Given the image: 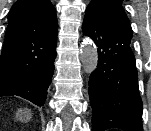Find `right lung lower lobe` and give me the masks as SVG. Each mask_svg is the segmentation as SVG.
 <instances>
[{
  "label": "right lung lower lobe",
  "instance_id": "obj_1",
  "mask_svg": "<svg viewBox=\"0 0 151 131\" xmlns=\"http://www.w3.org/2000/svg\"><path fill=\"white\" fill-rule=\"evenodd\" d=\"M55 58L56 47L51 50L49 59L39 70L9 86L0 87V97L17 95L37 106H43L53 76Z\"/></svg>",
  "mask_w": 151,
  "mask_h": 131
}]
</instances>
